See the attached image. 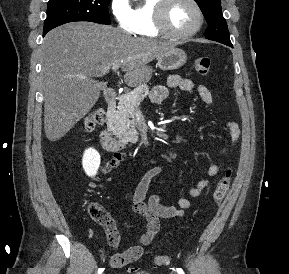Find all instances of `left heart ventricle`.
<instances>
[{
	"label": "left heart ventricle",
	"instance_id": "1",
	"mask_svg": "<svg viewBox=\"0 0 289 274\" xmlns=\"http://www.w3.org/2000/svg\"><path fill=\"white\" fill-rule=\"evenodd\" d=\"M167 19L172 30L186 32L196 26L198 16L188 0H174L169 7Z\"/></svg>",
	"mask_w": 289,
	"mask_h": 274
}]
</instances>
